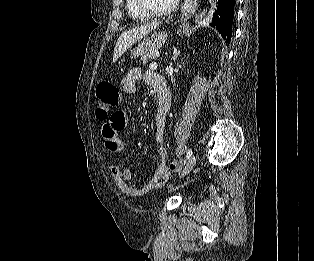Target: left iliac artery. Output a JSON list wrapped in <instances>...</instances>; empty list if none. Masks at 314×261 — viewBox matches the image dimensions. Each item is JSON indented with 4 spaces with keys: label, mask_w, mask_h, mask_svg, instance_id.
<instances>
[{
    "label": "left iliac artery",
    "mask_w": 314,
    "mask_h": 261,
    "mask_svg": "<svg viewBox=\"0 0 314 261\" xmlns=\"http://www.w3.org/2000/svg\"><path fill=\"white\" fill-rule=\"evenodd\" d=\"M191 156H192V149H188L187 155H186L187 160L190 159Z\"/></svg>",
    "instance_id": "left-iliac-artery-1"
}]
</instances>
